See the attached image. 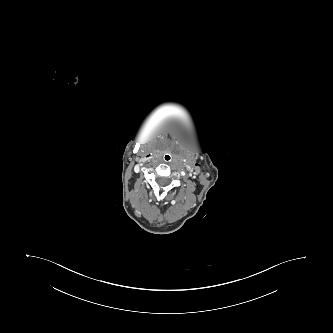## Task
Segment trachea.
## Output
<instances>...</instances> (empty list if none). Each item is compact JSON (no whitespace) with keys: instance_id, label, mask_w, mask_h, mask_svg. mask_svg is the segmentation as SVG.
<instances>
[{"instance_id":"1","label":"trachea","mask_w":333,"mask_h":333,"mask_svg":"<svg viewBox=\"0 0 333 333\" xmlns=\"http://www.w3.org/2000/svg\"><path fill=\"white\" fill-rule=\"evenodd\" d=\"M163 163L165 164V165H172L173 164V157H172V155L170 154V153H165L164 155H163Z\"/></svg>"}]
</instances>
